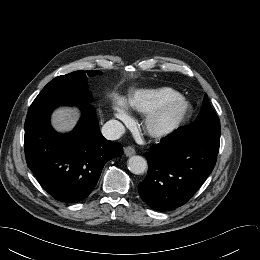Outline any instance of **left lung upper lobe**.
<instances>
[{"mask_svg": "<svg viewBox=\"0 0 260 260\" xmlns=\"http://www.w3.org/2000/svg\"><path fill=\"white\" fill-rule=\"evenodd\" d=\"M172 134L220 139V121L209 104L207 95L204 97L203 109L196 120L192 124L178 128Z\"/></svg>", "mask_w": 260, "mask_h": 260, "instance_id": "obj_1", "label": "left lung upper lobe"}]
</instances>
